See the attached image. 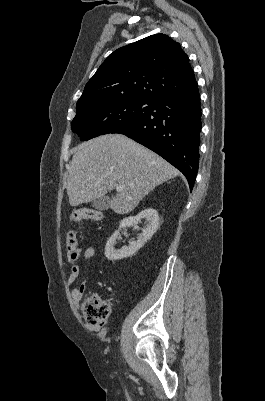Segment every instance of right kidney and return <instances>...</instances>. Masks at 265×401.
I'll use <instances>...</instances> for the list:
<instances>
[{"mask_svg":"<svg viewBox=\"0 0 265 401\" xmlns=\"http://www.w3.org/2000/svg\"><path fill=\"white\" fill-rule=\"evenodd\" d=\"M141 219H146L149 225H147L146 229H142V233H140L137 241H130L129 247H122V249H114V243L120 235V231L124 229V227H129V225H137ZM159 227V215L156 209H144L141 213H138L136 217H126L123 219L119 225L118 231H115L111 237H109L107 241V245L105 247V255L109 261H118V259H125V257H131L134 255L138 249H141L149 239H151L152 235L156 233Z\"/></svg>","mask_w":265,"mask_h":401,"instance_id":"ca27d5eb","label":"right kidney"}]
</instances>
